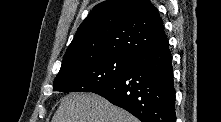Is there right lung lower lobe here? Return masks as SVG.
Here are the masks:
<instances>
[{
  "mask_svg": "<svg viewBox=\"0 0 221 122\" xmlns=\"http://www.w3.org/2000/svg\"><path fill=\"white\" fill-rule=\"evenodd\" d=\"M92 92L142 122H175L173 68L166 35L136 55L119 78Z\"/></svg>",
  "mask_w": 221,
  "mask_h": 122,
  "instance_id": "1",
  "label": "right lung lower lobe"
}]
</instances>
